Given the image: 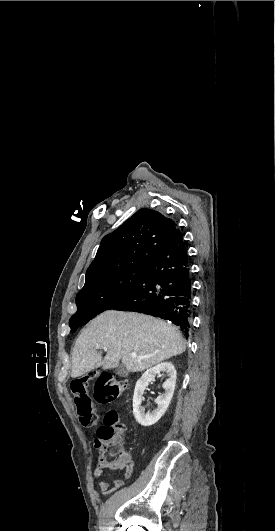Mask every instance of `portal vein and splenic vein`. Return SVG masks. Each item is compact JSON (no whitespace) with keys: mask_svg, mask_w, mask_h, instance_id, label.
Listing matches in <instances>:
<instances>
[{"mask_svg":"<svg viewBox=\"0 0 275 531\" xmlns=\"http://www.w3.org/2000/svg\"><path fill=\"white\" fill-rule=\"evenodd\" d=\"M103 351H107L106 347H104ZM131 357H137V353H131ZM137 359H143V357H137Z\"/></svg>","mask_w":275,"mask_h":531,"instance_id":"obj_1","label":"portal vein and splenic vein"}]
</instances>
